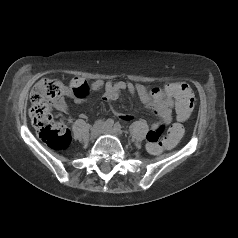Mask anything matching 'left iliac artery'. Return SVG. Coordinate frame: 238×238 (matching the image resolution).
<instances>
[{"label":"left iliac artery","mask_w":238,"mask_h":238,"mask_svg":"<svg viewBox=\"0 0 238 238\" xmlns=\"http://www.w3.org/2000/svg\"><path fill=\"white\" fill-rule=\"evenodd\" d=\"M114 129L116 130V131H118V132H122V127H121V125L119 124V123H115V125H114Z\"/></svg>","instance_id":"obj_1"}]
</instances>
